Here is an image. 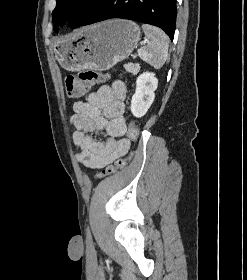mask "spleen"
<instances>
[{
    "instance_id": "1",
    "label": "spleen",
    "mask_w": 247,
    "mask_h": 280,
    "mask_svg": "<svg viewBox=\"0 0 247 280\" xmlns=\"http://www.w3.org/2000/svg\"><path fill=\"white\" fill-rule=\"evenodd\" d=\"M142 29L149 42L138 50V56L155 69H160L168 57L169 39L158 27L144 24Z\"/></svg>"
}]
</instances>
